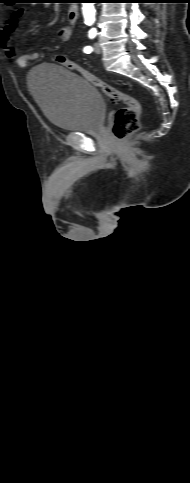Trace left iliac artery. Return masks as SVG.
I'll use <instances>...</instances> for the list:
<instances>
[{"label": "left iliac artery", "mask_w": 190, "mask_h": 483, "mask_svg": "<svg viewBox=\"0 0 190 483\" xmlns=\"http://www.w3.org/2000/svg\"><path fill=\"white\" fill-rule=\"evenodd\" d=\"M88 36L91 39L94 38L96 36V30L95 29H91L89 31ZM83 51H84V53L89 54V53H91L93 51V49H92L91 46H86V47H84V50Z\"/></svg>", "instance_id": "1"}]
</instances>
